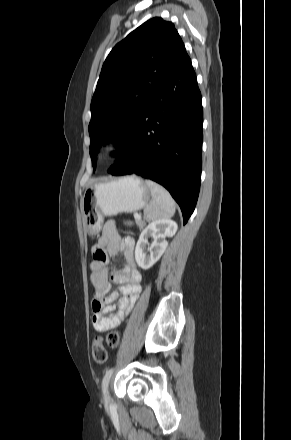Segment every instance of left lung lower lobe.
<instances>
[{
    "instance_id": "1",
    "label": "left lung lower lobe",
    "mask_w": 291,
    "mask_h": 440,
    "mask_svg": "<svg viewBox=\"0 0 291 440\" xmlns=\"http://www.w3.org/2000/svg\"><path fill=\"white\" fill-rule=\"evenodd\" d=\"M202 126L201 93L186 54L150 100L108 172L137 174L163 185L179 204L186 224L200 190Z\"/></svg>"
}]
</instances>
